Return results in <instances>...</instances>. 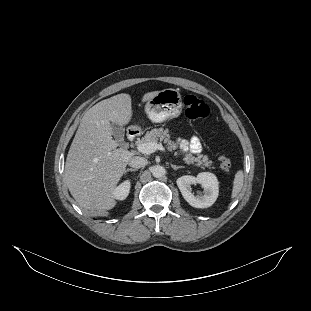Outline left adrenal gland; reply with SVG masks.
Returning a JSON list of instances; mask_svg holds the SVG:
<instances>
[{
  "mask_svg": "<svg viewBox=\"0 0 311 311\" xmlns=\"http://www.w3.org/2000/svg\"><path fill=\"white\" fill-rule=\"evenodd\" d=\"M171 167L174 169V170H177L179 168H184V166H176V165H173L171 164Z\"/></svg>",
  "mask_w": 311,
  "mask_h": 311,
  "instance_id": "1",
  "label": "left adrenal gland"
}]
</instances>
